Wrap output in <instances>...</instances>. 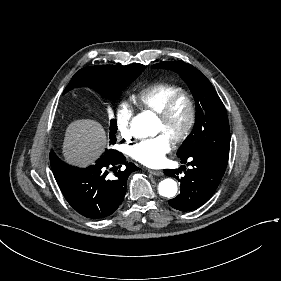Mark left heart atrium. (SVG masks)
Instances as JSON below:
<instances>
[{
  "label": "left heart atrium",
  "mask_w": 281,
  "mask_h": 281,
  "mask_svg": "<svg viewBox=\"0 0 281 281\" xmlns=\"http://www.w3.org/2000/svg\"><path fill=\"white\" fill-rule=\"evenodd\" d=\"M170 148L169 138L164 134H159L132 147L130 154L137 162L156 168L165 162V155Z\"/></svg>",
  "instance_id": "39dd6f15"
}]
</instances>
